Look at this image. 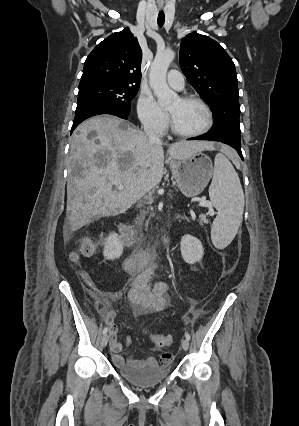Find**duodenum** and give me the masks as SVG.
<instances>
[{
	"label": "duodenum",
	"instance_id": "1",
	"mask_svg": "<svg viewBox=\"0 0 299 426\" xmlns=\"http://www.w3.org/2000/svg\"><path fill=\"white\" fill-rule=\"evenodd\" d=\"M118 230L126 243V245L130 246L133 244V239L130 231L128 230L125 223L120 222L118 224ZM166 245V242H165ZM156 256V253H149V252H136L130 257H128L125 261L126 268L129 271H133L137 269L140 266L146 265L153 257Z\"/></svg>",
	"mask_w": 299,
	"mask_h": 426
}]
</instances>
